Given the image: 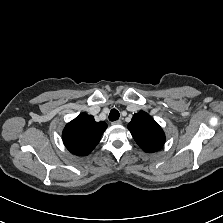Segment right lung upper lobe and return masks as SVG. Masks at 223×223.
<instances>
[{
	"mask_svg": "<svg viewBox=\"0 0 223 223\" xmlns=\"http://www.w3.org/2000/svg\"><path fill=\"white\" fill-rule=\"evenodd\" d=\"M106 128L105 122H96L93 116L81 113L66 125L62 139L71 153L86 156L99 143Z\"/></svg>",
	"mask_w": 223,
	"mask_h": 223,
	"instance_id": "cb5924a9",
	"label": "right lung upper lobe"
}]
</instances>
